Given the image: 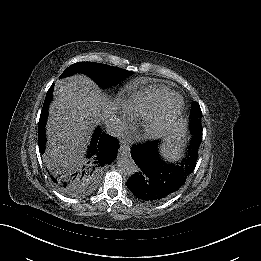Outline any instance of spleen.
Returning a JSON list of instances; mask_svg holds the SVG:
<instances>
[{"label":"spleen","instance_id":"spleen-1","mask_svg":"<svg viewBox=\"0 0 261 261\" xmlns=\"http://www.w3.org/2000/svg\"><path fill=\"white\" fill-rule=\"evenodd\" d=\"M183 146H184V140L178 138L174 142H170L163 145L161 148V152L167 160L174 161L182 157L181 153L183 149L181 147Z\"/></svg>","mask_w":261,"mask_h":261}]
</instances>
